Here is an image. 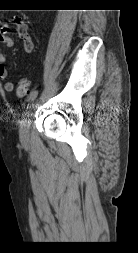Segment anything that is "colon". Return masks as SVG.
Segmentation results:
<instances>
[{
	"mask_svg": "<svg viewBox=\"0 0 138 253\" xmlns=\"http://www.w3.org/2000/svg\"><path fill=\"white\" fill-rule=\"evenodd\" d=\"M31 89V83L28 78H23L19 81L16 87V95L20 98L25 97Z\"/></svg>",
	"mask_w": 138,
	"mask_h": 253,
	"instance_id": "1",
	"label": "colon"
}]
</instances>
